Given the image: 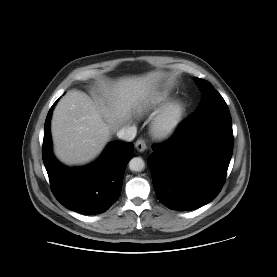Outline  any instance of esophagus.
Returning a JSON list of instances; mask_svg holds the SVG:
<instances>
[{
    "mask_svg": "<svg viewBox=\"0 0 277 277\" xmlns=\"http://www.w3.org/2000/svg\"><path fill=\"white\" fill-rule=\"evenodd\" d=\"M135 148L138 152H143L146 150L147 146L143 139H138L135 143Z\"/></svg>",
    "mask_w": 277,
    "mask_h": 277,
    "instance_id": "34e87169",
    "label": "esophagus"
}]
</instances>
